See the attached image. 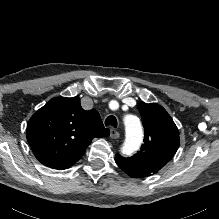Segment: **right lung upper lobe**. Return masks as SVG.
I'll use <instances>...</instances> for the list:
<instances>
[{"label": "right lung upper lobe", "instance_id": "1", "mask_svg": "<svg viewBox=\"0 0 219 219\" xmlns=\"http://www.w3.org/2000/svg\"><path fill=\"white\" fill-rule=\"evenodd\" d=\"M108 135L98 111H85L78 97L51 99L27 125V140L37 160L57 170L70 168L94 138Z\"/></svg>", "mask_w": 219, "mask_h": 219}]
</instances>
